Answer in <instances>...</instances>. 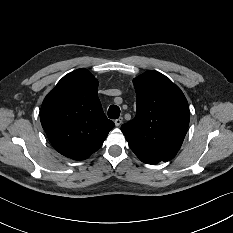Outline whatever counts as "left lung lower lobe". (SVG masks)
Wrapping results in <instances>:
<instances>
[{
	"instance_id": "0a47b994",
	"label": "left lung lower lobe",
	"mask_w": 233,
	"mask_h": 233,
	"mask_svg": "<svg viewBox=\"0 0 233 233\" xmlns=\"http://www.w3.org/2000/svg\"><path fill=\"white\" fill-rule=\"evenodd\" d=\"M133 152L137 155V157L144 163H148V164H156V163H159L160 161H162L161 159L159 158H156V157H153L151 155H147L143 152H140V151H136V150H133Z\"/></svg>"
}]
</instances>
